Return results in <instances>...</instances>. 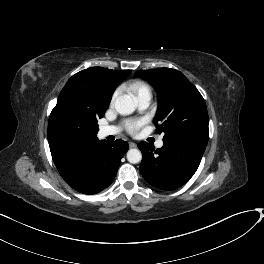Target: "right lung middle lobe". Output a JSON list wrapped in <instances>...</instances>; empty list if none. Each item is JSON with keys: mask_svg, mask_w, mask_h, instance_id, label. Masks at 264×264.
<instances>
[{"mask_svg": "<svg viewBox=\"0 0 264 264\" xmlns=\"http://www.w3.org/2000/svg\"><path fill=\"white\" fill-rule=\"evenodd\" d=\"M106 109L70 105L64 110L62 119L71 128L91 127L98 131L97 120L102 118Z\"/></svg>", "mask_w": 264, "mask_h": 264, "instance_id": "obj_1", "label": "right lung middle lobe"}]
</instances>
